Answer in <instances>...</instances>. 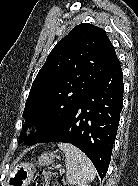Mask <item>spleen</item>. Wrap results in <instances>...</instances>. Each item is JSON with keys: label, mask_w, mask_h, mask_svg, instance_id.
I'll use <instances>...</instances> for the list:
<instances>
[{"label": "spleen", "mask_w": 138, "mask_h": 186, "mask_svg": "<svg viewBox=\"0 0 138 186\" xmlns=\"http://www.w3.org/2000/svg\"><path fill=\"white\" fill-rule=\"evenodd\" d=\"M59 148L66 156L67 181L70 184H86L96 176V169L90 159L78 148L68 143H60Z\"/></svg>", "instance_id": "1"}]
</instances>
